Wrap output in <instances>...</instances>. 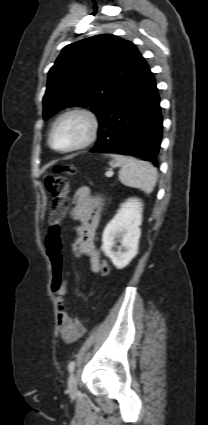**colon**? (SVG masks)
Here are the masks:
<instances>
[{
	"mask_svg": "<svg viewBox=\"0 0 208 425\" xmlns=\"http://www.w3.org/2000/svg\"><path fill=\"white\" fill-rule=\"evenodd\" d=\"M76 168L70 164H60L53 167L52 172L45 179V187L52 197V210L50 215V229L47 236L48 254L52 264V291L56 294L61 286L64 260L62 255V246L59 238V232L62 224V218L65 211L66 199L69 193V181L67 176L74 175ZM99 209V205H98ZM71 255H78L75 248L70 252ZM109 273V266L103 263L101 266V275Z\"/></svg>",
	"mask_w": 208,
	"mask_h": 425,
	"instance_id": "obj_1",
	"label": "colon"
}]
</instances>
